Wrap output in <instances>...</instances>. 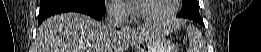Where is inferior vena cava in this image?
I'll use <instances>...</instances> for the list:
<instances>
[{
  "instance_id": "602c4592",
  "label": "inferior vena cava",
  "mask_w": 261,
  "mask_h": 52,
  "mask_svg": "<svg viewBox=\"0 0 261 52\" xmlns=\"http://www.w3.org/2000/svg\"><path fill=\"white\" fill-rule=\"evenodd\" d=\"M125 17L126 9L121 2L114 1L106 5V16L104 24L105 35L107 37H113L117 29L123 26Z\"/></svg>"
}]
</instances>
